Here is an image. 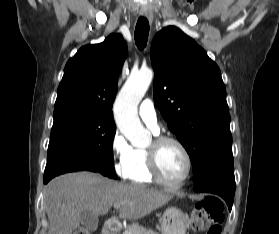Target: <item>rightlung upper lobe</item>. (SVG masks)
<instances>
[{"instance_id":"1","label":"right lung upper lobe","mask_w":279,"mask_h":234,"mask_svg":"<svg viewBox=\"0 0 279 234\" xmlns=\"http://www.w3.org/2000/svg\"><path fill=\"white\" fill-rule=\"evenodd\" d=\"M126 57L127 45L120 34L81 47L65 66L54 113L81 111L113 119L118 76Z\"/></svg>"}]
</instances>
